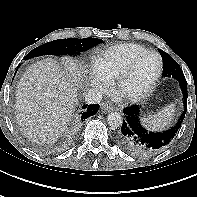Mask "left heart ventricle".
<instances>
[{
	"label": "left heart ventricle",
	"instance_id": "obj_1",
	"mask_svg": "<svg viewBox=\"0 0 197 197\" xmlns=\"http://www.w3.org/2000/svg\"><path fill=\"white\" fill-rule=\"evenodd\" d=\"M158 59L155 56L143 58L135 67L125 83L127 93L136 94L143 91L155 76L158 70Z\"/></svg>",
	"mask_w": 197,
	"mask_h": 197
}]
</instances>
